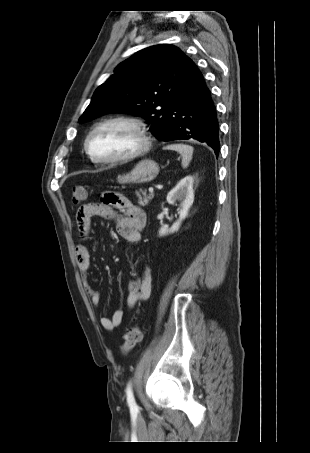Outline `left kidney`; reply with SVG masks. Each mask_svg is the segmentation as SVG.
<instances>
[{
  "label": "left kidney",
  "instance_id": "1",
  "mask_svg": "<svg viewBox=\"0 0 310 453\" xmlns=\"http://www.w3.org/2000/svg\"><path fill=\"white\" fill-rule=\"evenodd\" d=\"M193 183L194 178L192 176H186L168 193L167 202L169 204L173 205L176 201L180 202L179 219L173 223L171 228L162 226L159 230V236H165L179 230L181 222L187 217L189 209L194 202Z\"/></svg>",
  "mask_w": 310,
  "mask_h": 453
}]
</instances>
